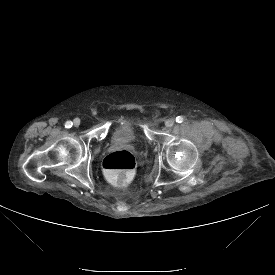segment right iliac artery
Returning <instances> with one entry per match:
<instances>
[{
	"label": "right iliac artery",
	"instance_id": "1",
	"mask_svg": "<svg viewBox=\"0 0 275 275\" xmlns=\"http://www.w3.org/2000/svg\"><path fill=\"white\" fill-rule=\"evenodd\" d=\"M72 125H73L72 121H67V122L65 123V128H71Z\"/></svg>",
	"mask_w": 275,
	"mask_h": 275
}]
</instances>
